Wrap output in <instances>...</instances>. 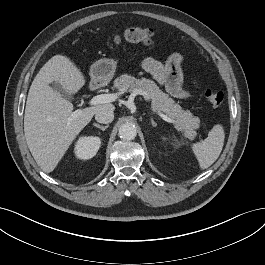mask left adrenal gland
<instances>
[{"instance_id":"1","label":"left adrenal gland","mask_w":265,"mask_h":265,"mask_svg":"<svg viewBox=\"0 0 265 265\" xmlns=\"http://www.w3.org/2000/svg\"><path fill=\"white\" fill-rule=\"evenodd\" d=\"M151 124H152V126H156L157 125V123L153 120V118H151Z\"/></svg>"}]
</instances>
